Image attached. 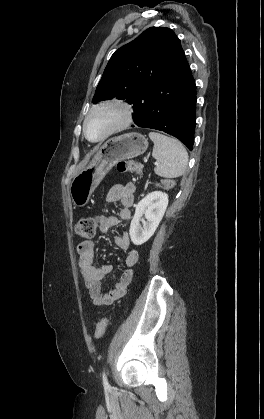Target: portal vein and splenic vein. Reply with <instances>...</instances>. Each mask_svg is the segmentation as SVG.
<instances>
[{"label":"portal vein and splenic vein","mask_w":264,"mask_h":419,"mask_svg":"<svg viewBox=\"0 0 264 419\" xmlns=\"http://www.w3.org/2000/svg\"><path fill=\"white\" fill-rule=\"evenodd\" d=\"M145 162H147V159H144ZM155 165H158V162H155Z\"/></svg>","instance_id":"1"}]
</instances>
